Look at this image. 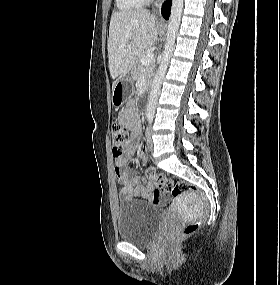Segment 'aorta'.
<instances>
[{
    "instance_id": "obj_1",
    "label": "aorta",
    "mask_w": 280,
    "mask_h": 285,
    "mask_svg": "<svg viewBox=\"0 0 280 285\" xmlns=\"http://www.w3.org/2000/svg\"><path fill=\"white\" fill-rule=\"evenodd\" d=\"M182 11H183V0H173L170 21L167 30L165 49L157 73L154 77L151 86L149 102L146 109V116L148 118H153L155 114L156 104L160 93L162 80L168 68L169 61L173 52V47L179 29Z\"/></svg>"
}]
</instances>
